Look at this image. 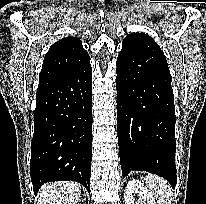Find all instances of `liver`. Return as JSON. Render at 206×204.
I'll return each mask as SVG.
<instances>
[{
  "label": "liver",
  "instance_id": "1",
  "mask_svg": "<svg viewBox=\"0 0 206 204\" xmlns=\"http://www.w3.org/2000/svg\"><path fill=\"white\" fill-rule=\"evenodd\" d=\"M81 195L75 182H54L43 185L38 193L40 204H76Z\"/></svg>",
  "mask_w": 206,
  "mask_h": 204
}]
</instances>
